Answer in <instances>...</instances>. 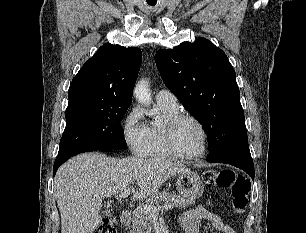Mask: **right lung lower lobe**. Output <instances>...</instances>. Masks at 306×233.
<instances>
[{
  "mask_svg": "<svg viewBox=\"0 0 306 233\" xmlns=\"http://www.w3.org/2000/svg\"><path fill=\"white\" fill-rule=\"evenodd\" d=\"M110 150H114V149H101V150H94V149H90V150H82V151H78L75 153H72L64 158L61 159H56L54 166H53V175H55L57 169L69 158H71L72 156L79 154V153H83V152H88V151H110Z\"/></svg>",
  "mask_w": 306,
  "mask_h": 233,
  "instance_id": "1",
  "label": "right lung lower lobe"
}]
</instances>
